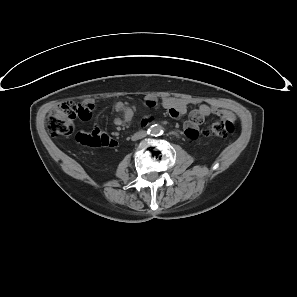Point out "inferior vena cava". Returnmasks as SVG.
Here are the masks:
<instances>
[{"mask_svg":"<svg viewBox=\"0 0 297 297\" xmlns=\"http://www.w3.org/2000/svg\"><path fill=\"white\" fill-rule=\"evenodd\" d=\"M145 135H146L145 131H140V132H137L134 135V137L141 139V138L145 137Z\"/></svg>","mask_w":297,"mask_h":297,"instance_id":"602c4592","label":"inferior vena cava"}]
</instances>
